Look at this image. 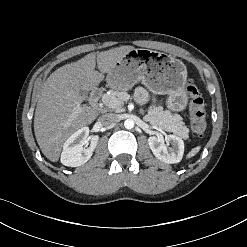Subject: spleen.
<instances>
[{
  "instance_id": "1",
  "label": "spleen",
  "mask_w": 247,
  "mask_h": 247,
  "mask_svg": "<svg viewBox=\"0 0 247 247\" xmlns=\"http://www.w3.org/2000/svg\"><path fill=\"white\" fill-rule=\"evenodd\" d=\"M201 149V146H197L195 148H193L188 154H187V158H191L193 156H195Z\"/></svg>"
}]
</instances>
